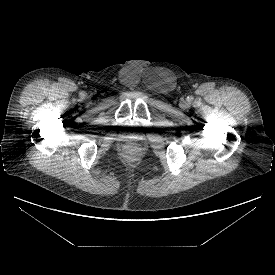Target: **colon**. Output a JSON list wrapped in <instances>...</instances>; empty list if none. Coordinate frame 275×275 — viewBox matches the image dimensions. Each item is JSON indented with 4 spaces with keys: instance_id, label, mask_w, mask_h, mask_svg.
<instances>
[{
    "instance_id": "obj_1",
    "label": "colon",
    "mask_w": 275,
    "mask_h": 275,
    "mask_svg": "<svg viewBox=\"0 0 275 275\" xmlns=\"http://www.w3.org/2000/svg\"><path fill=\"white\" fill-rule=\"evenodd\" d=\"M138 154L139 150L134 146L128 147L126 150V156L128 159H136L138 157Z\"/></svg>"
}]
</instances>
